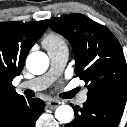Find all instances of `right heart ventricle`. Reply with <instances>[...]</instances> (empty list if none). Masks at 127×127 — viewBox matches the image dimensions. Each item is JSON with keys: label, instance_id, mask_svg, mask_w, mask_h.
Instances as JSON below:
<instances>
[{"label": "right heart ventricle", "instance_id": "obj_1", "mask_svg": "<svg viewBox=\"0 0 127 127\" xmlns=\"http://www.w3.org/2000/svg\"><path fill=\"white\" fill-rule=\"evenodd\" d=\"M42 43L48 52L67 48L65 39L60 34L54 32L46 34Z\"/></svg>", "mask_w": 127, "mask_h": 127}]
</instances>
